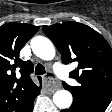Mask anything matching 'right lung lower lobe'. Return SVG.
I'll return each instance as SVG.
<instances>
[{
  "label": "right lung lower lobe",
  "mask_w": 112,
  "mask_h": 112,
  "mask_svg": "<svg viewBox=\"0 0 112 112\" xmlns=\"http://www.w3.org/2000/svg\"><path fill=\"white\" fill-rule=\"evenodd\" d=\"M25 112H33V102L29 105Z\"/></svg>",
  "instance_id": "right-lung-lower-lobe-1"
}]
</instances>
